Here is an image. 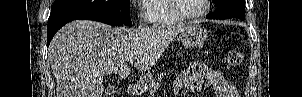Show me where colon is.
I'll list each match as a JSON object with an SVG mask.
<instances>
[{
    "label": "colon",
    "instance_id": "obj_1",
    "mask_svg": "<svg viewBox=\"0 0 302 97\" xmlns=\"http://www.w3.org/2000/svg\"><path fill=\"white\" fill-rule=\"evenodd\" d=\"M245 54L241 50H231L227 54V62L229 65L237 66L243 63Z\"/></svg>",
    "mask_w": 302,
    "mask_h": 97
}]
</instances>
